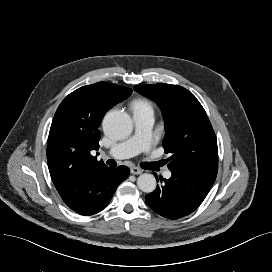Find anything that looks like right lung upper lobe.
Wrapping results in <instances>:
<instances>
[{"mask_svg":"<svg viewBox=\"0 0 272 272\" xmlns=\"http://www.w3.org/2000/svg\"><path fill=\"white\" fill-rule=\"evenodd\" d=\"M132 90L98 82L70 93L59 105L50 128L47 162L60 194L77 189L107 166L91 155L99 148L98 130L104 114L126 99Z\"/></svg>","mask_w":272,"mask_h":272,"instance_id":"1","label":"right lung upper lobe"}]
</instances>
